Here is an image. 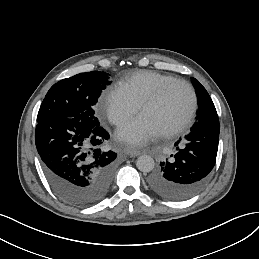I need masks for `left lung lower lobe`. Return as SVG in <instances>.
<instances>
[{
    "label": "left lung lower lobe",
    "instance_id": "left-lung-lower-lobe-1",
    "mask_svg": "<svg viewBox=\"0 0 259 259\" xmlns=\"http://www.w3.org/2000/svg\"><path fill=\"white\" fill-rule=\"evenodd\" d=\"M218 115L202 117L195 122L185 136L184 145L169 161L160 163V168L148 178L150 189L157 195L173 201L190 198L205 185L213 169L219 141Z\"/></svg>",
    "mask_w": 259,
    "mask_h": 259
}]
</instances>
